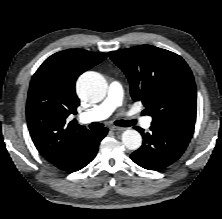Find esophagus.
Masks as SVG:
<instances>
[{"mask_svg": "<svg viewBox=\"0 0 222 219\" xmlns=\"http://www.w3.org/2000/svg\"><path fill=\"white\" fill-rule=\"evenodd\" d=\"M111 130H113L115 132H121V131H124L125 128L113 126V127H111Z\"/></svg>", "mask_w": 222, "mask_h": 219, "instance_id": "obj_1", "label": "esophagus"}]
</instances>
